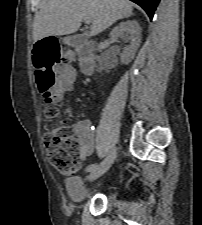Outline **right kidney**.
Here are the masks:
<instances>
[{"label": "right kidney", "instance_id": "obj_1", "mask_svg": "<svg viewBox=\"0 0 202 225\" xmlns=\"http://www.w3.org/2000/svg\"><path fill=\"white\" fill-rule=\"evenodd\" d=\"M110 36L115 41L121 38L124 43H130L124 47V52L121 56L122 63L128 64L134 58L141 43V28L138 22L135 20L121 22L113 28Z\"/></svg>", "mask_w": 202, "mask_h": 225}]
</instances>
